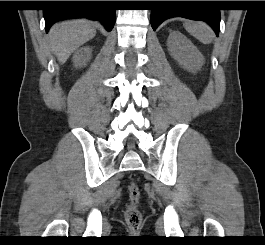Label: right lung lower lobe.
<instances>
[{
  "mask_svg": "<svg viewBox=\"0 0 265 245\" xmlns=\"http://www.w3.org/2000/svg\"><path fill=\"white\" fill-rule=\"evenodd\" d=\"M53 7L43 10L46 31L60 20L88 18L100 21L107 31L115 24V9L111 1H54Z\"/></svg>",
  "mask_w": 265,
  "mask_h": 245,
  "instance_id": "1",
  "label": "right lung lower lobe"
}]
</instances>
